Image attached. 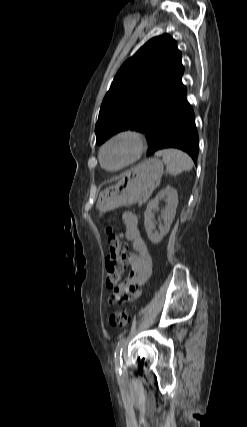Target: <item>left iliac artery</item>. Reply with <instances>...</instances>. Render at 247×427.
I'll use <instances>...</instances> for the list:
<instances>
[{"instance_id": "left-iliac-artery-1", "label": "left iliac artery", "mask_w": 247, "mask_h": 427, "mask_svg": "<svg viewBox=\"0 0 247 427\" xmlns=\"http://www.w3.org/2000/svg\"><path fill=\"white\" fill-rule=\"evenodd\" d=\"M124 343H125V337L120 338L115 349L114 361H115V366L117 370H121L122 368V351H123Z\"/></svg>"}]
</instances>
